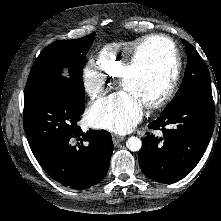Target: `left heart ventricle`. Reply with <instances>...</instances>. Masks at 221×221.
<instances>
[{
  "instance_id": "left-heart-ventricle-1",
  "label": "left heart ventricle",
  "mask_w": 221,
  "mask_h": 221,
  "mask_svg": "<svg viewBox=\"0 0 221 221\" xmlns=\"http://www.w3.org/2000/svg\"><path fill=\"white\" fill-rule=\"evenodd\" d=\"M173 68L169 44L161 39L147 43L141 50L136 66L126 81V91L142 104L151 101L164 89Z\"/></svg>"
}]
</instances>
